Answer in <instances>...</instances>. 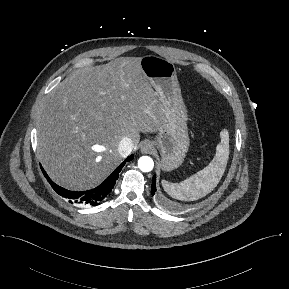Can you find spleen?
Masks as SVG:
<instances>
[{"mask_svg": "<svg viewBox=\"0 0 289 289\" xmlns=\"http://www.w3.org/2000/svg\"><path fill=\"white\" fill-rule=\"evenodd\" d=\"M229 158V135L227 130L221 131V142L216 147L213 160L191 177L180 183L162 180L164 190L173 198L194 201L206 196L219 183Z\"/></svg>", "mask_w": 289, "mask_h": 289, "instance_id": "1", "label": "spleen"}]
</instances>
